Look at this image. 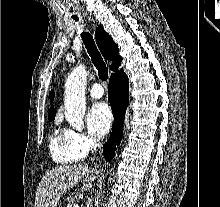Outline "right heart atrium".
<instances>
[{
    "instance_id": "right-heart-atrium-1",
    "label": "right heart atrium",
    "mask_w": 220,
    "mask_h": 207,
    "mask_svg": "<svg viewBox=\"0 0 220 207\" xmlns=\"http://www.w3.org/2000/svg\"><path fill=\"white\" fill-rule=\"evenodd\" d=\"M74 143L85 153L94 147V140L83 132L68 130Z\"/></svg>"
}]
</instances>
